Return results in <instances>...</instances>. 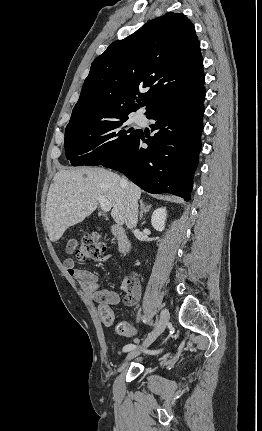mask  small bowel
Returning a JSON list of instances; mask_svg holds the SVG:
<instances>
[{"instance_id": "c3829d8e", "label": "small bowel", "mask_w": 262, "mask_h": 431, "mask_svg": "<svg viewBox=\"0 0 262 431\" xmlns=\"http://www.w3.org/2000/svg\"><path fill=\"white\" fill-rule=\"evenodd\" d=\"M103 260L112 261L109 256L104 257ZM64 266L68 274L80 282L86 298L98 303L100 315L111 316L114 320L115 315L111 307L121 302L120 295L103 289L97 275L88 269L76 267L74 260L66 259ZM121 289L125 293V301L129 305L136 304L141 298V287L136 278L125 276L122 280ZM126 324L132 327L130 324Z\"/></svg>"}]
</instances>
